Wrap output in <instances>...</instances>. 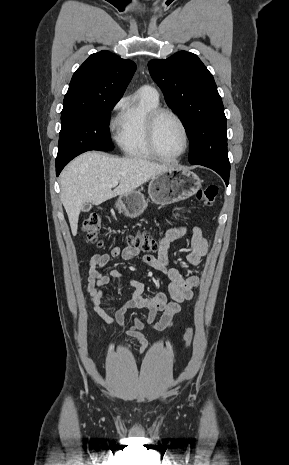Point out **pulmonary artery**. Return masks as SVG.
Listing matches in <instances>:
<instances>
[{
	"instance_id": "e3ab8cb5",
	"label": "pulmonary artery",
	"mask_w": 289,
	"mask_h": 465,
	"mask_svg": "<svg viewBox=\"0 0 289 465\" xmlns=\"http://www.w3.org/2000/svg\"><path fill=\"white\" fill-rule=\"evenodd\" d=\"M142 88L148 89V90H150L152 93H154L155 95H158V94H157V91H156L153 87H151V86H143Z\"/></svg>"
}]
</instances>
